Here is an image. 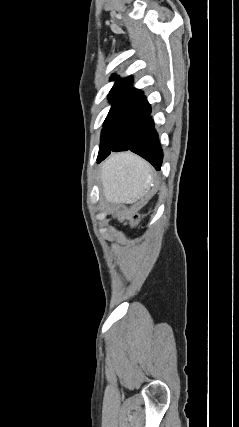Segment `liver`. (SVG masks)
Returning <instances> with one entry per match:
<instances>
[{"mask_svg": "<svg viewBox=\"0 0 239 427\" xmlns=\"http://www.w3.org/2000/svg\"><path fill=\"white\" fill-rule=\"evenodd\" d=\"M149 164L131 152L110 156L103 164L104 197L112 204H133L147 195L152 184Z\"/></svg>", "mask_w": 239, "mask_h": 427, "instance_id": "obj_1", "label": "liver"}]
</instances>
